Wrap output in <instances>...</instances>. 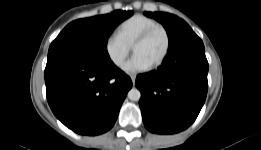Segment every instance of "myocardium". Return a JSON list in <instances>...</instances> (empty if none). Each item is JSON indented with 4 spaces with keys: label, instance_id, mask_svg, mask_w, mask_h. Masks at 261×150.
<instances>
[{
    "label": "myocardium",
    "instance_id": "obj_1",
    "mask_svg": "<svg viewBox=\"0 0 261 150\" xmlns=\"http://www.w3.org/2000/svg\"><path fill=\"white\" fill-rule=\"evenodd\" d=\"M158 30H161L164 33L166 44H165V49H164L162 56L154 64L151 65V68L160 67L166 61V59L169 55L170 46H171V38H170V34H169V31L167 30V28L165 26H163L162 24H157V25L151 26L150 28L146 29L135 40V42L132 45V51L134 52V50L137 46H139L140 44L147 41L152 36V34H154Z\"/></svg>",
    "mask_w": 261,
    "mask_h": 150
}]
</instances>
